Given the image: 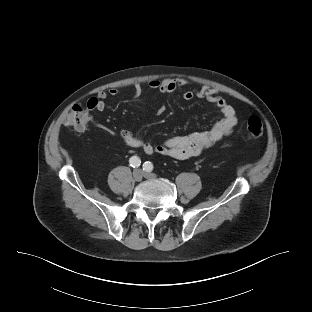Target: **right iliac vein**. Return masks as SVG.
<instances>
[{
    "mask_svg": "<svg viewBox=\"0 0 312 312\" xmlns=\"http://www.w3.org/2000/svg\"><path fill=\"white\" fill-rule=\"evenodd\" d=\"M133 178H134L135 181H141L142 178H143V173H142V171L139 170V169H135V170L133 171Z\"/></svg>",
    "mask_w": 312,
    "mask_h": 312,
    "instance_id": "obj_1",
    "label": "right iliac vein"
}]
</instances>
